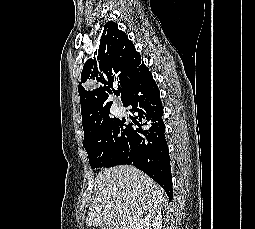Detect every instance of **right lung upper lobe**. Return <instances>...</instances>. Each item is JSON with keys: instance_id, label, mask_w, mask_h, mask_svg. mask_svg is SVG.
I'll use <instances>...</instances> for the list:
<instances>
[{"instance_id": "cb5924a9", "label": "right lung upper lobe", "mask_w": 255, "mask_h": 229, "mask_svg": "<svg viewBox=\"0 0 255 229\" xmlns=\"http://www.w3.org/2000/svg\"><path fill=\"white\" fill-rule=\"evenodd\" d=\"M144 67L146 66L141 55L127 35L118 29L115 22H107L93 58L83 66L78 86L84 130L83 142L110 118L112 102H109L108 98L115 92L114 88L121 92L124 104L132 79ZM88 79L96 82L95 88L85 90L81 85Z\"/></svg>"}]
</instances>
